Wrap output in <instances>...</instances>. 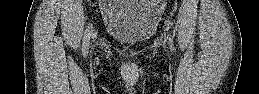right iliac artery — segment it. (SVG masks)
I'll list each match as a JSON object with an SVG mask.
<instances>
[{"instance_id": "obj_1", "label": "right iliac artery", "mask_w": 259, "mask_h": 94, "mask_svg": "<svg viewBox=\"0 0 259 94\" xmlns=\"http://www.w3.org/2000/svg\"><path fill=\"white\" fill-rule=\"evenodd\" d=\"M91 33H92V24L88 26L84 34L83 46H82V51L84 56H86L88 53Z\"/></svg>"}]
</instances>
